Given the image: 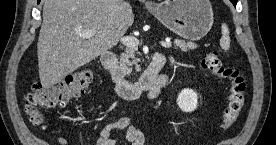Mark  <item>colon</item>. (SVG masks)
<instances>
[{
	"instance_id": "obj_1",
	"label": "colon",
	"mask_w": 276,
	"mask_h": 145,
	"mask_svg": "<svg viewBox=\"0 0 276 145\" xmlns=\"http://www.w3.org/2000/svg\"><path fill=\"white\" fill-rule=\"evenodd\" d=\"M202 67L217 78L229 82L228 103L222 116L221 127L228 129L238 119L246 95V83L239 71L222 65L217 51L209 52L201 62ZM94 75L83 70L65 76L55 86L33 83L25 100V111L35 126L44 122V111L62 105L85 92L92 83Z\"/></svg>"
}]
</instances>
